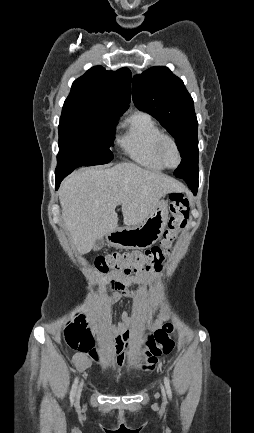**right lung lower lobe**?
<instances>
[{
	"instance_id": "obj_1",
	"label": "right lung lower lobe",
	"mask_w": 254,
	"mask_h": 433,
	"mask_svg": "<svg viewBox=\"0 0 254 433\" xmlns=\"http://www.w3.org/2000/svg\"><path fill=\"white\" fill-rule=\"evenodd\" d=\"M77 167H79V164H74L71 162H58L55 171L56 189H58L61 181Z\"/></svg>"
}]
</instances>
